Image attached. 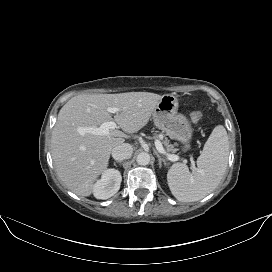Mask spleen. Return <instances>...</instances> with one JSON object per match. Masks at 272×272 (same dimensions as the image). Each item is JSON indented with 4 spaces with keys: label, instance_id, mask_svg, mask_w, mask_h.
<instances>
[{
    "label": "spleen",
    "instance_id": "3e777b00",
    "mask_svg": "<svg viewBox=\"0 0 272 272\" xmlns=\"http://www.w3.org/2000/svg\"><path fill=\"white\" fill-rule=\"evenodd\" d=\"M229 142L227 131L216 126L197 159L192 172L183 163L173 164L167 173L168 186L181 202H194L211 193L220 183L227 168Z\"/></svg>",
    "mask_w": 272,
    "mask_h": 272
}]
</instances>
